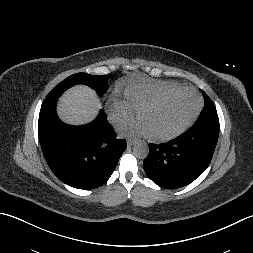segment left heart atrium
<instances>
[{
  "label": "left heart atrium",
  "instance_id": "39dd6f15",
  "mask_svg": "<svg viewBox=\"0 0 253 253\" xmlns=\"http://www.w3.org/2000/svg\"><path fill=\"white\" fill-rule=\"evenodd\" d=\"M123 133L128 135H149L146 125L139 119L136 122L127 123L121 126Z\"/></svg>",
  "mask_w": 253,
  "mask_h": 253
}]
</instances>
